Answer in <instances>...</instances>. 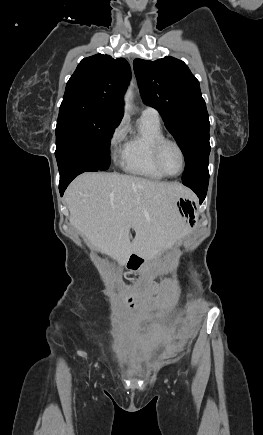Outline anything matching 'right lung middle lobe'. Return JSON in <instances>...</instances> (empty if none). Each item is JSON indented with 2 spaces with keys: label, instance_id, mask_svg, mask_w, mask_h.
Returning <instances> with one entry per match:
<instances>
[{
  "label": "right lung middle lobe",
  "instance_id": "obj_1",
  "mask_svg": "<svg viewBox=\"0 0 263 435\" xmlns=\"http://www.w3.org/2000/svg\"><path fill=\"white\" fill-rule=\"evenodd\" d=\"M118 124L117 120L93 109L60 108L55 151L60 174L71 167L107 170L110 139Z\"/></svg>",
  "mask_w": 263,
  "mask_h": 435
}]
</instances>
